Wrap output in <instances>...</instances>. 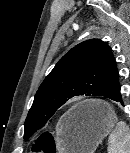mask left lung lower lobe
Masks as SVG:
<instances>
[{
    "label": "left lung lower lobe",
    "instance_id": "left-lung-lower-lobe-1",
    "mask_svg": "<svg viewBox=\"0 0 130 153\" xmlns=\"http://www.w3.org/2000/svg\"><path fill=\"white\" fill-rule=\"evenodd\" d=\"M102 97L109 98L113 101H120L122 103V97L120 93V84L118 80V69L115 65L109 80L102 92ZM123 104V103H122Z\"/></svg>",
    "mask_w": 130,
    "mask_h": 153
}]
</instances>
